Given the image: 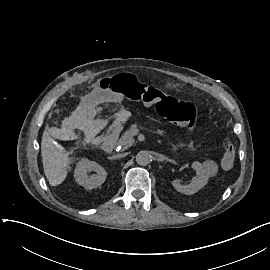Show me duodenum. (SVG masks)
Segmentation results:
<instances>
[{
	"label": "duodenum",
	"instance_id": "duodenum-1",
	"mask_svg": "<svg viewBox=\"0 0 270 270\" xmlns=\"http://www.w3.org/2000/svg\"><path fill=\"white\" fill-rule=\"evenodd\" d=\"M121 130V124L116 123L109 128V131L102 142L103 151L109 153L116 146L117 139Z\"/></svg>",
	"mask_w": 270,
	"mask_h": 270
}]
</instances>
